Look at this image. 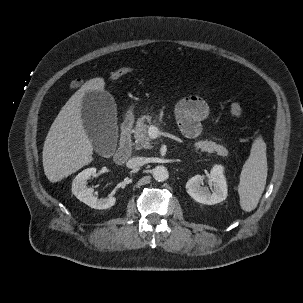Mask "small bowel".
Masks as SVG:
<instances>
[{
	"label": "small bowel",
	"instance_id": "1",
	"mask_svg": "<svg viewBox=\"0 0 303 303\" xmlns=\"http://www.w3.org/2000/svg\"><path fill=\"white\" fill-rule=\"evenodd\" d=\"M81 79L72 82V87H79ZM175 115L182 133L188 138L198 137L202 124L211 116V108L199 96H189L178 102Z\"/></svg>",
	"mask_w": 303,
	"mask_h": 303
}]
</instances>
